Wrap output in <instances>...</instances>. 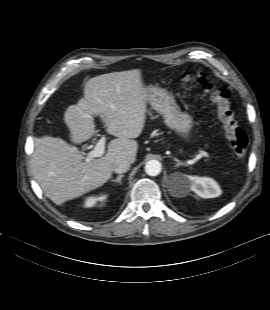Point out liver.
I'll return each instance as SVG.
<instances>
[{
	"mask_svg": "<svg viewBox=\"0 0 270 310\" xmlns=\"http://www.w3.org/2000/svg\"><path fill=\"white\" fill-rule=\"evenodd\" d=\"M147 92L140 69L103 74L87 81L84 98L64 112L71 141L80 144L92 138V114L100 115L106 131L117 138L110 141L103 157L90 161L61 138H34L32 171L46 197L62 205L105 184L112 177L116 161L135 162L138 143L133 139L140 136L145 125Z\"/></svg>",
	"mask_w": 270,
	"mask_h": 310,
	"instance_id": "6515ba94",
	"label": "liver"
}]
</instances>
